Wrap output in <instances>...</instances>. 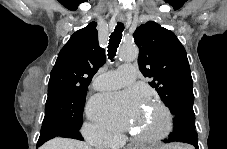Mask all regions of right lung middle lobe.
<instances>
[{
  "mask_svg": "<svg viewBox=\"0 0 227 149\" xmlns=\"http://www.w3.org/2000/svg\"><path fill=\"white\" fill-rule=\"evenodd\" d=\"M87 90L48 92L41 132L79 130Z\"/></svg>",
  "mask_w": 227,
  "mask_h": 149,
  "instance_id": "1",
  "label": "right lung middle lobe"
}]
</instances>
